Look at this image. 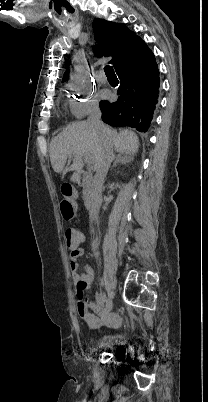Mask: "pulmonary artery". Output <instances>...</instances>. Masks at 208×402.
Segmentation results:
<instances>
[{
    "instance_id": "pulmonary-artery-1",
    "label": "pulmonary artery",
    "mask_w": 208,
    "mask_h": 402,
    "mask_svg": "<svg viewBox=\"0 0 208 402\" xmlns=\"http://www.w3.org/2000/svg\"><path fill=\"white\" fill-rule=\"evenodd\" d=\"M97 73H98L100 76H105V75L107 74V69H106L105 67H100V68L97 70Z\"/></svg>"
}]
</instances>
